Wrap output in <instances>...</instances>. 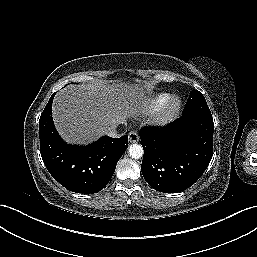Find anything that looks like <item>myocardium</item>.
<instances>
[{"instance_id": "f54148a6", "label": "myocardium", "mask_w": 257, "mask_h": 257, "mask_svg": "<svg viewBox=\"0 0 257 257\" xmlns=\"http://www.w3.org/2000/svg\"><path fill=\"white\" fill-rule=\"evenodd\" d=\"M182 100L179 96H171L155 115L153 122L158 126H167L179 116Z\"/></svg>"}]
</instances>
